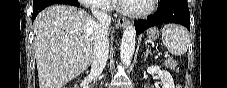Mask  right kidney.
<instances>
[{
  "instance_id": "obj_1",
  "label": "right kidney",
  "mask_w": 227,
  "mask_h": 88,
  "mask_svg": "<svg viewBox=\"0 0 227 88\" xmlns=\"http://www.w3.org/2000/svg\"><path fill=\"white\" fill-rule=\"evenodd\" d=\"M74 88H77V85H74Z\"/></svg>"
}]
</instances>
